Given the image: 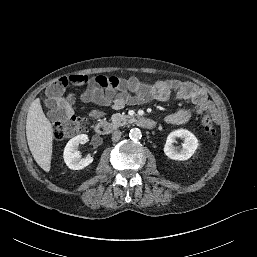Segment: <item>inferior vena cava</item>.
<instances>
[{"label": "inferior vena cava", "instance_id": "obj_1", "mask_svg": "<svg viewBox=\"0 0 257 257\" xmlns=\"http://www.w3.org/2000/svg\"><path fill=\"white\" fill-rule=\"evenodd\" d=\"M121 131L120 130H115L113 133H112V141L116 142V141H119L120 138H121Z\"/></svg>", "mask_w": 257, "mask_h": 257}]
</instances>
